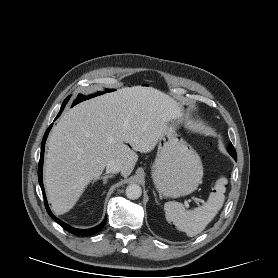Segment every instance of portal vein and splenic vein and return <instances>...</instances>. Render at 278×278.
<instances>
[{
	"label": "portal vein and splenic vein",
	"mask_w": 278,
	"mask_h": 278,
	"mask_svg": "<svg viewBox=\"0 0 278 278\" xmlns=\"http://www.w3.org/2000/svg\"><path fill=\"white\" fill-rule=\"evenodd\" d=\"M193 200H195L197 203L203 202V200H201V199H199V198H195V197H193ZM185 206H186L187 208L189 207L188 202H185Z\"/></svg>",
	"instance_id": "obj_1"
}]
</instances>
